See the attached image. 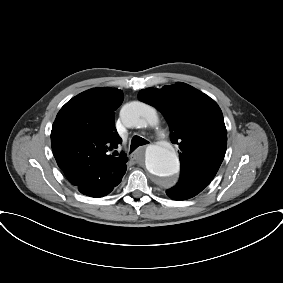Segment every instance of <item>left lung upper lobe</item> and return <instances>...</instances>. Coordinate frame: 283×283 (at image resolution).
I'll return each mask as SVG.
<instances>
[{
    "instance_id": "obj_1",
    "label": "left lung upper lobe",
    "mask_w": 283,
    "mask_h": 283,
    "mask_svg": "<svg viewBox=\"0 0 283 283\" xmlns=\"http://www.w3.org/2000/svg\"><path fill=\"white\" fill-rule=\"evenodd\" d=\"M138 97L165 116L170 139L180 148L181 175L209 184L227 146V131L217 103L181 82L161 89H143Z\"/></svg>"
}]
</instances>
